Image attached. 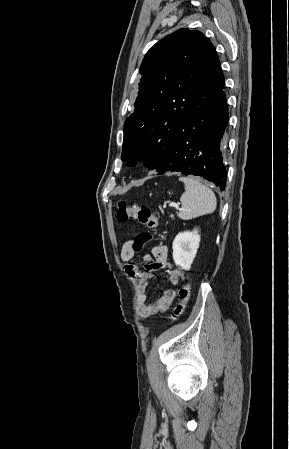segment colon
<instances>
[{
    "label": "colon",
    "mask_w": 289,
    "mask_h": 449,
    "mask_svg": "<svg viewBox=\"0 0 289 449\" xmlns=\"http://www.w3.org/2000/svg\"><path fill=\"white\" fill-rule=\"evenodd\" d=\"M116 219L120 222H127L129 220H135L140 224L146 225L149 228H158L160 226L159 216L152 213L149 207L145 205L132 204L128 205L125 201L118 203L116 211ZM152 236L148 233H140L133 240V248L135 251L141 250L143 245L149 242ZM180 302L174 309L173 320H177L185 311V308L190 299V285L184 284L180 291Z\"/></svg>",
    "instance_id": "colon-1"
}]
</instances>
